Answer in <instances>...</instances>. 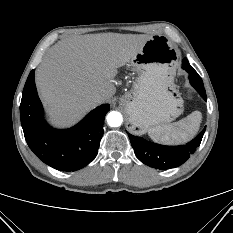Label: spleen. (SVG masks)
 I'll return each mask as SVG.
<instances>
[{
	"instance_id": "spleen-1",
	"label": "spleen",
	"mask_w": 233,
	"mask_h": 233,
	"mask_svg": "<svg viewBox=\"0 0 233 233\" xmlns=\"http://www.w3.org/2000/svg\"><path fill=\"white\" fill-rule=\"evenodd\" d=\"M202 120L200 111H194L187 117L172 124L159 125L148 130L150 138L159 143L179 145L191 140L199 130Z\"/></svg>"
}]
</instances>
